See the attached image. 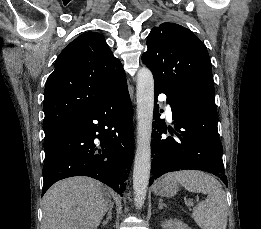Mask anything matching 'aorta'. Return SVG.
Masks as SVG:
<instances>
[{
  "instance_id": "762f6f07",
  "label": "aorta",
  "mask_w": 261,
  "mask_h": 229,
  "mask_svg": "<svg viewBox=\"0 0 261 229\" xmlns=\"http://www.w3.org/2000/svg\"><path fill=\"white\" fill-rule=\"evenodd\" d=\"M154 78L147 66L137 72V149L133 167V193L137 209L144 205L151 169Z\"/></svg>"
}]
</instances>
